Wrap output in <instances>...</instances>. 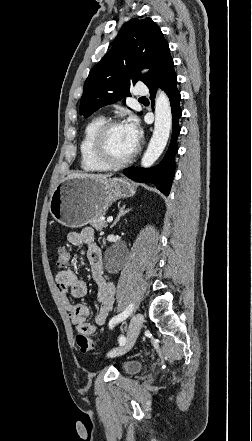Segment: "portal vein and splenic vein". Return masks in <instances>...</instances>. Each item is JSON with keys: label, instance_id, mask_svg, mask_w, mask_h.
I'll return each instance as SVG.
<instances>
[{"label": "portal vein and splenic vein", "instance_id": "obj_1", "mask_svg": "<svg viewBox=\"0 0 252 441\" xmlns=\"http://www.w3.org/2000/svg\"><path fill=\"white\" fill-rule=\"evenodd\" d=\"M112 221H113V217L110 216V217L107 218V222L110 223V222H112Z\"/></svg>", "mask_w": 252, "mask_h": 441}]
</instances>
